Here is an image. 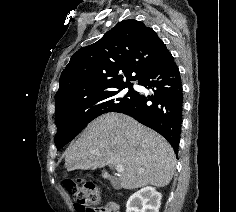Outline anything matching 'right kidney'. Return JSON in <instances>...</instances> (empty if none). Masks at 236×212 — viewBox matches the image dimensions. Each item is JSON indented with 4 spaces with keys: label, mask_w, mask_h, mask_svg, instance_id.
Here are the masks:
<instances>
[{
    "label": "right kidney",
    "mask_w": 236,
    "mask_h": 212,
    "mask_svg": "<svg viewBox=\"0 0 236 212\" xmlns=\"http://www.w3.org/2000/svg\"><path fill=\"white\" fill-rule=\"evenodd\" d=\"M161 198L154 187H144L130 196L126 212H159Z\"/></svg>",
    "instance_id": "right-kidney-1"
}]
</instances>
